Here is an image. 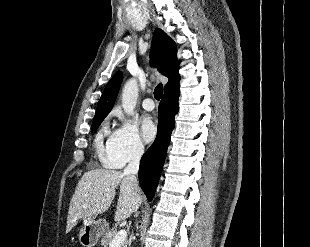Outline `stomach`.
I'll return each mask as SVG.
<instances>
[{"instance_id": "0dacf381", "label": "stomach", "mask_w": 310, "mask_h": 247, "mask_svg": "<svg viewBox=\"0 0 310 247\" xmlns=\"http://www.w3.org/2000/svg\"><path fill=\"white\" fill-rule=\"evenodd\" d=\"M106 230L107 223L105 221L91 217L83 220V226L78 233V240L83 247H94Z\"/></svg>"}]
</instances>
